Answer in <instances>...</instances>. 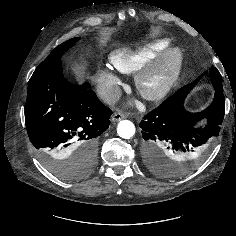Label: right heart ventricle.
<instances>
[{"label": "right heart ventricle", "instance_id": "1", "mask_svg": "<svg viewBox=\"0 0 236 236\" xmlns=\"http://www.w3.org/2000/svg\"><path fill=\"white\" fill-rule=\"evenodd\" d=\"M169 41L163 38L152 39L132 48H120L110 54L112 65L120 72L134 73L163 52Z\"/></svg>", "mask_w": 236, "mask_h": 236}]
</instances>
